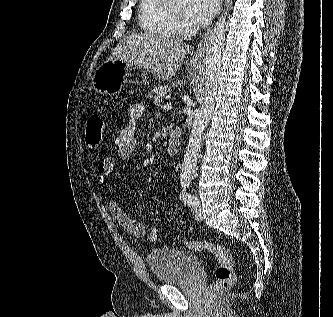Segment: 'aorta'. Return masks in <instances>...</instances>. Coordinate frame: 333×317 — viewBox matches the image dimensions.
I'll return each instance as SVG.
<instances>
[{"label": "aorta", "mask_w": 333, "mask_h": 317, "mask_svg": "<svg viewBox=\"0 0 333 317\" xmlns=\"http://www.w3.org/2000/svg\"><path fill=\"white\" fill-rule=\"evenodd\" d=\"M173 1L184 3L187 0ZM225 4L227 9L216 22L207 44L204 98L201 107L194 113V122L181 169L180 179L182 185H189L195 175L202 136L215 107V97L219 86L222 55L225 47V20L232 0H225Z\"/></svg>", "instance_id": "aorta-1"}]
</instances>
